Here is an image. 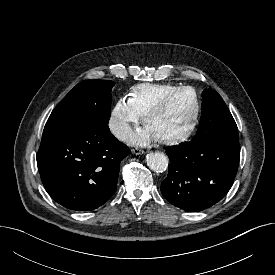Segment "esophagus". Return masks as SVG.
<instances>
[{"instance_id":"1","label":"esophagus","mask_w":275,"mask_h":275,"mask_svg":"<svg viewBox=\"0 0 275 275\" xmlns=\"http://www.w3.org/2000/svg\"><path fill=\"white\" fill-rule=\"evenodd\" d=\"M132 153H134L136 155H142L145 153V151L142 149H139V148H134V149H132Z\"/></svg>"}]
</instances>
